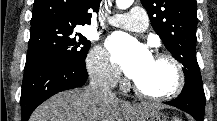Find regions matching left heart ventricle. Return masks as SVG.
I'll return each mask as SVG.
<instances>
[{
  "label": "left heart ventricle",
  "instance_id": "1",
  "mask_svg": "<svg viewBox=\"0 0 217 121\" xmlns=\"http://www.w3.org/2000/svg\"><path fill=\"white\" fill-rule=\"evenodd\" d=\"M134 80L142 89L148 92L161 93L168 91L172 87L175 77L174 71L168 62L151 58Z\"/></svg>",
  "mask_w": 217,
  "mask_h": 121
}]
</instances>
